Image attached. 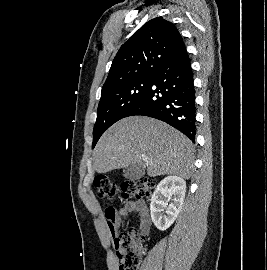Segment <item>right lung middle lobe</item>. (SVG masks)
Returning <instances> with one entry per match:
<instances>
[{
  "label": "right lung middle lobe",
  "mask_w": 267,
  "mask_h": 270,
  "mask_svg": "<svg viewBox=\"0 0 267 270\" xmlns=\"http://www.w3.org/2000/svg\"><path fill=\"white\" fill-rule=\"evenodd\" d=\"M152 77L126 81L101 92L97 119L93 130V144L101 135L125 115L143 98L150 87Z\"/></svg>",
  "instance_id": "1"
}]
</instances>
